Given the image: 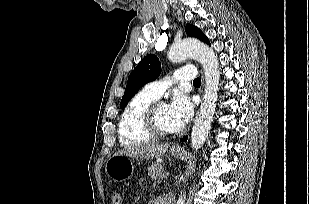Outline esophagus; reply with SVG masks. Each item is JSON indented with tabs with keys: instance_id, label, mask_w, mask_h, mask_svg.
Returning <instances> with one entry per match:
<instances>
[{
	"instance_id": "esophagus-1",
	"label": "esophagus",
	"mask_w": 309,
	"mask_h": 204,
	"mask_svg": "<svg viewBox=\"0 0 309 204\" xmlns=\"http://www.w3.org/2000/svg\"><path fill=\"white\" fill-rule=\"evenodd\" d=\"M201 78H202V86H203V83H204V75H203V72H202V71H201ZM172 147L175 148V149H180V145H179V144H174Z\"/></svg>"
}]
</instances>
